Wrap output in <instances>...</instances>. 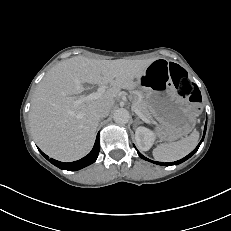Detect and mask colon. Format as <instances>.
Segmentation results:
<instances>
[{
  "mask_svg": "<svg viewBox=\"0 0 231 231\" xmlns=\"http://www.w3.org/2000/svg\"><path fill=\"white\" fill-rule=\"evenodd\" d=\"M168 67L178 93L183 97H189L194 104H198L200 100L198 90L189 79L187 72L175 63L169 64Z\"/></svg>",
  "mask_w": 231,
  "mask_h": 231,
  "instance_id": "5ec220e1",
  "label": "colon"
}]
</instances>
